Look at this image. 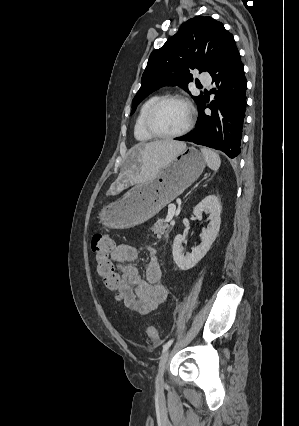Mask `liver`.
Wrapping results in <instances>:
<instances>
[{
	"instance_id": "1",
	"label": "liver",
	"mask_w": 299,
	"mask_h": 426,
	"mask_svg": "<svg viewBox=\"0 0 299 426\" xmlns=\"http://www.w3.org/2000/svg\"><path fill=\"white\" fill-rule=\"evenodd\" d=\"M185 149V143L174 140H157L132 147L129 163L137 172L135 181L146 182L154 179L163 167Z\"/></svg>"
}]
</instances>
